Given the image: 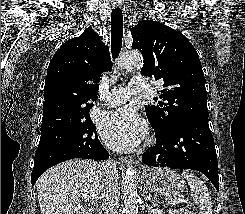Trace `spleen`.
Segmentation results:
<instances>
[{"label":"spleen","instance_id":"spleen-1","mask_svg":"<svg viewBox=\"0 0 245 214\" xmlns=\"http://www.w3.org/2000/svg\"><path fill=\"white\" fill-rule=\"evenodd\" d=\"M182 175L188 181L194 202L198 205L199 214H212L211 196L203 181L188 171H183Z\"/></svg>","mask_w":245,"mask_h":214}]
</instances>
